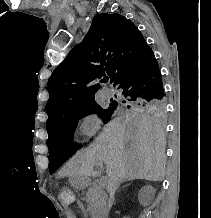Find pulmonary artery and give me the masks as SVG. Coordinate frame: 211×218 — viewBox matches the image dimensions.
I'll use <instances>...</instances> for the list:
<instances>
[{
  "label": "pulmonary artery",
  "mask_w": 211,
  "mask_h": 218,
  "mask_svg": "<svg viewBox=\"0 0 211 218\" xmlns=\"http://www.w3.org/2000/svg\"><path fill=\"white\" fill-rule=\"evenodd\" d=\"M102 96L105 98V99H110L114 96V91L105 86L103 89H102Z\"/></svg>",
  "instance_id": "1"
}]
</instances>
